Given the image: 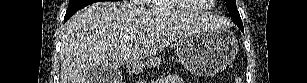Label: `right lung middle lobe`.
I'll return each mask as SVG.
<instances>
[{"instance_id": "obj_1", "label": "right lung middle lobe", "mask_w": 307, "mask_h": 83, "mask_svg": "<svg viewBox=\"0 0 307 83\" xmlns=\"http://www.w3.org/2000/svg\"><path fill=\"white\" fill-rule=\"evenodd\" d=\"M98 1L99 0H69L68 9L65 16H72L79 9Z\"/></svg>"}]
</instances>
